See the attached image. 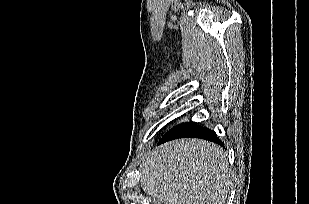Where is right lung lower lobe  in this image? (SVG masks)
<instances>
[{"mask_svg": "<svg viewBox=\"0 0 309 204\" xmlns=\"http://www.w3.org/2000/svg\"><path fill=\"white\" fill-rule=\"evenodd\" d=\"M184 137L201 138L223 145L213 130L197 126L192 122L181 123L173 127L160 139L158 144Z\"/></svg>", "mask_w": 309, "mask_h": 204, "instance_id": "1", "label": "right lung lower lobe"}]
</instances>
